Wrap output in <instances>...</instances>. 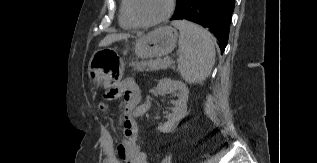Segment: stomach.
Masks as SVG:
<instances>
[{
  "instance_id": "stomach-1",
  "label": "stomach",
  "mask_w": 317,
  "mask_h": 163,
  "mask_svg": "<svg viewBox=\"0 0 317 163\" xmlns=\"http://www.w3.org/2000/svg\"><path fill=\"white\" fill-rule=\"evenodd\" d=\"M178 40L176 29L159 27L139 38L134 46L137 57L142 59L165 56L173 51ZM105 49L96 51L89 62L88 74L96 85H108L122 75V66L114 68L103 59Z\"/></svg>"
}]
</instances>
